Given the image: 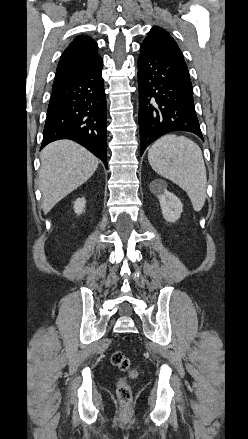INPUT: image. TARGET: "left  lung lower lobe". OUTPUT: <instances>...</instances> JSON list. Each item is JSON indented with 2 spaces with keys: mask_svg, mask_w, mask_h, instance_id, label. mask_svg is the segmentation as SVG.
Listing matches in <instances>:
<instances>
[{
  "mask_svg": "<svg viewBox=\"0 0 248 439\" xmlns=\"http://www.w3.org/2000/svg\"><path fill=\"white\" fill-rule=\"evenodd\" d=\"M137 64L140 154L153 141L172 131L192 132L203 140L184 59L142 43Z\"/></svg>",
  "mask_w": 248,
  "mask_h": 439,
  "instance_id": "obj_1",
  "label": "left lung lower lobe"
}]
</instances>
